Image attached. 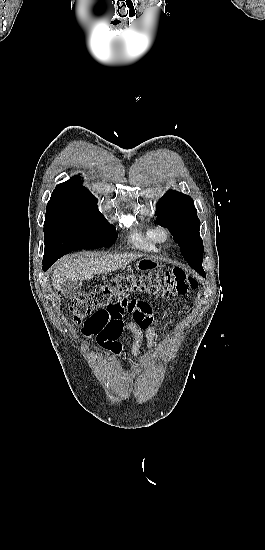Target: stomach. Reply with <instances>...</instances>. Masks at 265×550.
<instances>
[{
	"label": "stomach",
	"instance_id": "stomach-1",
	"mask_svg": "<svg viewBox=\"0 0 265 550\" xmlns=\"http://www.w3.org/2000/svg\"><path fill=\"white\" fill-rule=\"evenodd\" d=\"M159 267L158 260L150 257L142 258L139 261H137L135 268L136 270L143 272V271H150L153 269H156Z\"/></svg>",
	"mask_w": 265,
	"mask_h": 550
}]
</instances>
